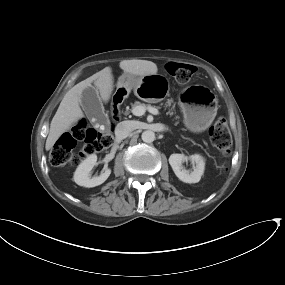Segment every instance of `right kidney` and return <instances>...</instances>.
I'll use <instances>...</instances> for the list:
<instances>
[{"instance_id": "1", "label": "right kidney", "mask_w": 285, "mask_h": 285, "mask_svg": "<svg viewBox=\"0 0 285 285\" xmlns=\"http://www.w3.org/2000/svg\"><path fill=\"white\" fill-rule=\"evenodd\" d=\"M96 164L97 156L95 154L90 155L83 162H81L74 173L75 183L88 188L104 183L110 176L111 170L104 167L99 176L91 177L90 172Z\"/></svg>"}]
</instances>
